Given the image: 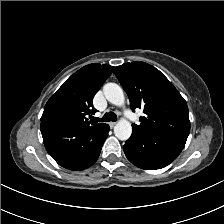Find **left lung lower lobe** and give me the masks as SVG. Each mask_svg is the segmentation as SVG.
<instances>
[{
	"label": "left lung lower lobe",
	"mask_w": 224,
	"mask_h": 224,
	"mask_svg": "<svg viewBox=\"0 0 224 224\" xmlns=\"http://www.w3.org/2000/svg\"><path fill=\"white\" fill-rule=\"evenodd\" d=\"M185 143L163 135L133 129L125 142L128 160L142 169L156 170L169 165L184 148Z\"/></svg>",
	"instance_id": "obj_1"
}]
</instances>
